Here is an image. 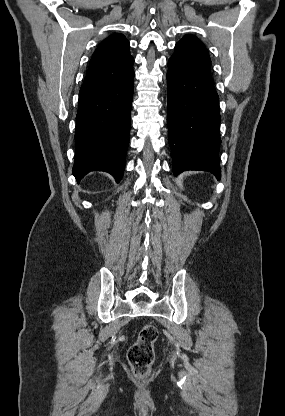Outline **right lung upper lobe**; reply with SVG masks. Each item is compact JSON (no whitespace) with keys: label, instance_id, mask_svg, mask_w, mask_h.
Listing matches in <instances>:
<instances>
[{"label":"right lung upper lobe","instance_id":"right-lung-upper-lobe-1","mask_svg":"<svg viewBox=\"0 0 285 416\" xmlns=\"http://www.w3.org/2000/svg\"><path fill=\"white\" fill-rule=\"evenodd\" d=\"M123 34H112L95 50L79 96L106 88L133 72L134 58Z\"/></svg>","mask_w":285,"mask_h":416}]
</instances>
